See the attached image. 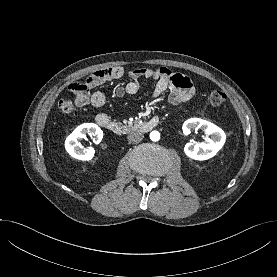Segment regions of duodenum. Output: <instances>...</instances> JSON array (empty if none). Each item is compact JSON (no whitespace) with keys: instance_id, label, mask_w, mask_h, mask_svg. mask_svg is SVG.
<instances>
[{"instance_id":"obj_1","label":"duodenum","mask_w":277,"mask_h":277,"mask_svg":"<svg viewBox=\"0 0 277 277\" xmlns=\"http://www.w3.org/2000/svg\"><path fill=\"white\" fill-rule=\"evenodd\" d=\"M159 123V119L154 117L151 118L148 121L143 122L142 124H140L139 128L140 130L144 131V132H148L150 130H152L153 128H155ZM101 127L113 132L114 134L117 135H123L125 133H127L129 131V128L118 123L115 121H112L111 119H101L98 123Z\"/></svg>"}]
</instances>
